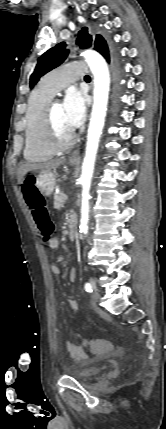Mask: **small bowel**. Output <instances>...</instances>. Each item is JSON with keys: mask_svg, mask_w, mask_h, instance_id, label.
Instances as JSON below:
<instances>
[{"mask_svg": "<svg viewBox=\"0 0 166 429\" xmlns=\"http://www.w3.org/2000/svg\"><path fill=\"white\" fill-rule=\"evenodd\" d=\"M59 246V241L56 238H53L49 241V247L51 249H57ZM51 272L55 275L61 274V269L59 266L53 264L50 267ZM70 281L74 282L76 280V270L70 269L68 273ZM69 305L75 312H79V306L77 302L74 299H69ZM65 348L68 351L69 355L72 359H74L77 362H80L82 364H86L90 361L89 356L87 354V351L84 346L74 344L70 341L65 342Z\"/></svg>", "mask_w": 166, "mask_h": 429, "instance_id": "small-bowel-1", "label": "small bowel"}]
</instances>
